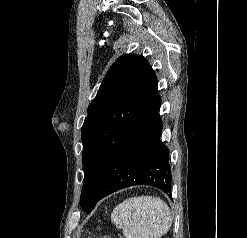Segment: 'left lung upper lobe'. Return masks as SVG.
I'll return each instance as SVG.
<instances>
[{
	"mask_svg": "<svg viewBox=\"0 0 247 238\" xmlns=\"http://www.w3.org/2000/svg\"><path fill=\"white\" fill-rule=\"evenodd\" d=\"M157 95V77L142 55H122L105 75L82 126L84 184L80 205L87 213L98 202L108 166Z\"/></svg>",
	"mask_w": 247,
	"mask_h": 238,
	"instance_id": "obj_1",
	"label": "left lung upper lobe"
}]
</instances>
